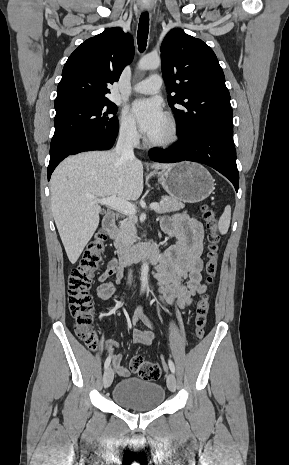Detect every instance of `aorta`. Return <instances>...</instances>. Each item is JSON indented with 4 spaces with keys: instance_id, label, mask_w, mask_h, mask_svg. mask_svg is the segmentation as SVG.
<instances>
[{
    "instance_id": "1",
    "label": "aorta",
    "mask_w": 289,
    "mask_h": 465,
    "mask_svg": "<svg viewBox=\"0 0 289 465\" xmlns=\"http://www.w3.org/2000/svg\"><path fill=\"white\" fill-rule=\"evenodd\" d=\"M161 64V59L158 55H146L138 62L139 70L157 69ZM149 266L147 262H143L141 267V288L144 290L147 286Z\"/></svg>"
}]
</instances>
